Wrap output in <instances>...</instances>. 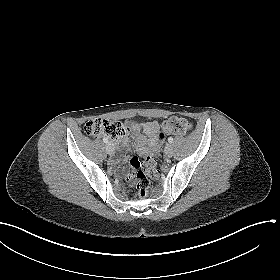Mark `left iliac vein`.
Here are the masks:
<instances>
[{
    "mask_svg": "<svg viewBox=\"0 0 280 280\" xmlns=\"http://www.w3.org/2000/svg\"><path fill=\"white\" fill-rule=\"evenodd\" d=\"M165 156L170 158L173 155V146L171 144H167L164 149Z\"/></svg>",
    "mask_w": 280,
    "mask_h": 280,
    "instance_id": "4c4485c4",
    "label": "left iliac vein"
}]
</instances>
